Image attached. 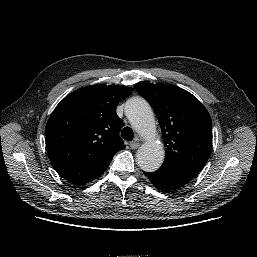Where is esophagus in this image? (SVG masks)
<instances>
[{
    "label": "esophagus",
    "mask_w": 257,
    "mask_h": 257,
    "mask_svg": "<svg viewBox=\"0 0 257 257\" xmlns=\"http://www.w3.org/2000/svg\"><path fill=\"white\" fill-rule=\"evenodd\" d=\"M129 145H130V148L134 150L139 147V142L135 140V141L130 142Z\"/></svg>",
    "instance_id": "esophagus-1"
}]
</instances>
